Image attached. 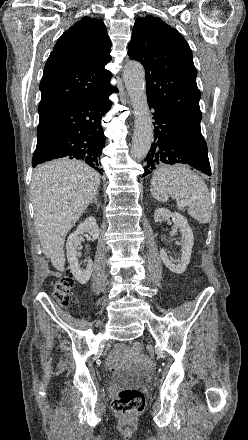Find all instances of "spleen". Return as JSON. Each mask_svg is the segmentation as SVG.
<instances>
[{
	"label": "spleen",
	"instance_id": "obj_1",
	"mask_svg": "<svg viewBox=\"0 0 248 440\" xmlns=\"http://www.w3.org/2000/svg\"><path fill=\"white\" fill-rule=\"evenodd\" d=\"M152 196L166 202L169 196L189 205V215L201 224L211 221L212 206L207 185L201 177L182 165H164L152 177Z\"/></svg>",
	"mask_w": 248,
	"mask_h": 440
}]
</instances>
